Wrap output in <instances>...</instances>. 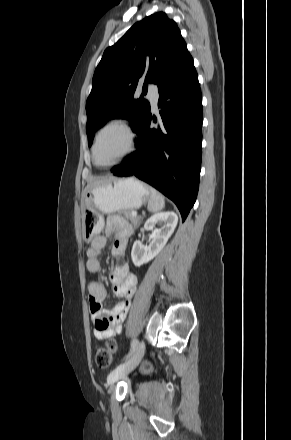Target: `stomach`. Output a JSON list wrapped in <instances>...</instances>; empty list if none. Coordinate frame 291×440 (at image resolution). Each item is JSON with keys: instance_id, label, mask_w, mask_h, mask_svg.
<instances>
[{"instance_id": "0dacf381", "label": "stomach", "mask_w": 291, "mask_h": 440, "mask_svg": "<svg viewBox=\"0 0 291 440\" xmlns=\"http://www.w3.org/2000/svg\"><path fill=\"white\" fill-rule=\"evenodd\" d=\"M150 199L148 187L131 177L112 179L89 188L83 196V235L91 239L104 226V214L140 208Z\"/></svg>"}]
</instances>
